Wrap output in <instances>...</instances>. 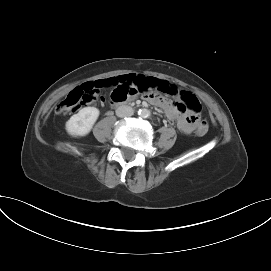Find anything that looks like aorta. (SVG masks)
I'll use <instances>...</instances> for the list:
<instances>
[{
  "mask_svg": "<svg viewBox=\"0 0 271 271\" xmlns=\"http://www.w3.org/2000/svg\"><path fill=\"white\" fill-rule=\"evenodd\" d=\"M138 114H139L141 117L146 118V117H148V116L150 115V111L147 110V109H140V110L138 111Z\"/></svg>",
  "mask_w": 271,
  "mask_h": 271,
  "instance_id": "aorta-1",
  "label": "aorta"
}]
</instances>
